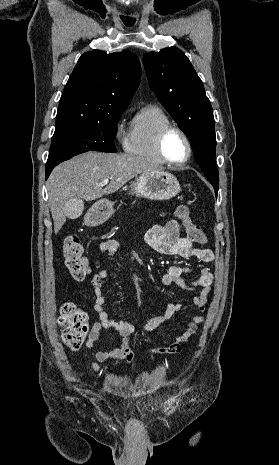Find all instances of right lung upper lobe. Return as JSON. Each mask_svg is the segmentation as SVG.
Returning <instances> with one entry per match:
<instances>
[{
    "instance_id": "right-lung-upper-lobe-1",
    "label": "right lung upper lobe",
    "mask_w": 279,
    "mask_h": 465,
    "mask_svg": "<svg viewBox=\"0 0 279 465\" xmlns=\"http://www.w3.org/2000/svg\"><path fill=\"white\" fill-rule=\"evenodd\" d=\"M137 56L123 50L82 54L63 90L56 126L99 121L116 109H126L140 82Z\"/></svg>"
}]
</instances>
